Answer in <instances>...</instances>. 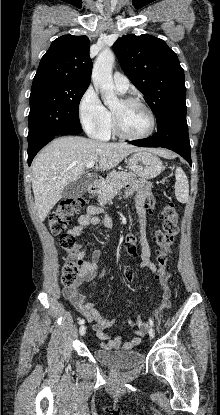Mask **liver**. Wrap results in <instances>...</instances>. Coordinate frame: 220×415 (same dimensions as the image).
I'll use <instances>...</instances> for the list:
<instances>
[{"label": "liver", "mask_w": 220, "mask_h": 415, "mask_svg": "<svg viewBox=\"0 0 220 415\" xmlns=\"http://www.w3.org/2000/svg\"><path fill=\"white\" fill-rule=\"evenodd\" d=\"M142 148L127 143H105L84 137H60L47 145L32 163L35 208L42 222L61 199L64 188L80 179L90 161H99L96 170L109 171L131 153ZM163 157L164 150H155Z\"/></svg>", "instance_id": "obj_1"}]
</instances>
